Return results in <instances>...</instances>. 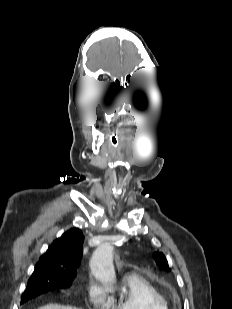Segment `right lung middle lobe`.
Instances as JSON below:
<instances>
[{"label":"right lung middle lobe","instance_id":"obj_1","mask_svg":"<svg viewBox=\"0 0 232 309\" xmlns=\"http://www.w3.org/2000/svg\"><path fill=\"white\" fill-rule=\"evenodd\" d=\"M71 282L72 281L69 279L51 277L43 274L31 277L24 293L22 294L21 304H24L27 301L50 290L58 287H65Z\"/></svg>","mask_w":232,"mask_h":309}]
</instances>
